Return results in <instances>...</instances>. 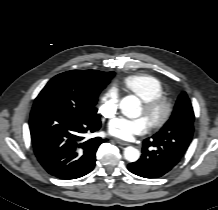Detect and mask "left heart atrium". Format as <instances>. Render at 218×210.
I'll use <instances>...</instances> for the list:
<instances>
[{"instance_id": "left-heart-atrium-1", "label": "left heart atrium", "mask_w": 218, "mask_h": 210, "mask_svg": "<svg viewBox=\"0 0 218 210\" xmlns=\"http://www.w3.org/2000/svg\"><path fill=\"white\" fill-rule=\"evenodd\" d=\"M150 124L145 117L128 119L124 117L116 118L109 124V134L122 139L132 140L135 136L148 132Z\"/></svg>"}]
</instances>
